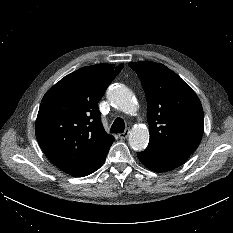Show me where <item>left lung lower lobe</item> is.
<instances>
[{"label":"left lung lower lobe","instance_id":"1","mask_svg":"<svg viewBox=\"0 0 233 233\" xmlns=\"http://www.w3.org/2000/svg\"><path fill=\"white\" fill-rule=\"evenodd\" d=\"M147 168L155 172H166L181 166L190 156L184 152H174L147 147L137 154Z\"/></svg>","mask_w":233,"mask_h":233}]
</instances>
